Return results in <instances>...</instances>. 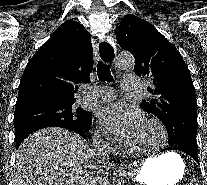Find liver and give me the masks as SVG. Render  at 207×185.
<instances>
[{"label": "liver", "instance_id": "liver-1", "mask_svg": "<svg viewBox=\"0 0 207 185\" xmlns=\"http://www.w3.org/2000/svg\"><path fill=\"white\" fill-rule=\"evenodd\" d=\"M96 155L80 135L47 127L21 143L13 171V185H94Z\"/></svg>", "mask_w": 207, "mask_h": 185}]
</instances>
